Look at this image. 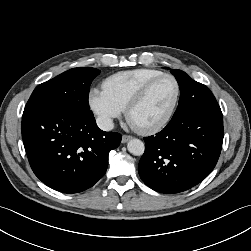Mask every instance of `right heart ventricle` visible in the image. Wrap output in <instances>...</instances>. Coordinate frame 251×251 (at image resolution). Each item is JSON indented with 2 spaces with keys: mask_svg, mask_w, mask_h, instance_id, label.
Masks as SVG:
<instances>
[{
  "mask_svg": "<svg viewBox=\"0 0 251 251\" xmlns=\"http://www.w3.org/2000/svg\"><path fill=\"white\" fill-rule=\"evenodd\" d=\"M160 74L147 68L121 71L106 78L103 89L124 110L142 86Z\"/></svg>",
  "mask_w": 251,
  "mask_h": 251,
  "instance_id": "1",
  "label": "right heart ventricle"
}]
</instances>
